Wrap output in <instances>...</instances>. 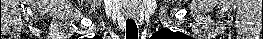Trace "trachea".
Segmentation results:
<instances>
[{
  "mask_svg": "<svg viewBox=\"0 0 263 39\" xmlns=\"http://www.w3.org/2000/svg\"><path fill=\"white\" fill-rule=\"evenodd\" d=\"M126 39H138V28L133 19L126 20Z\"/></svg>",
  "mask_w": 263,
  "mask_h": 39,
  "instance_id": "3493384b",
  "label": "trachea"
}]
</instances>
